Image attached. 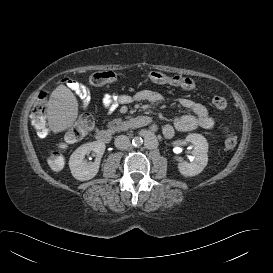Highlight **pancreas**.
Returning <instances> with one entry per match:
<instances>
[{
  "label": "pancreas",
  "instance_id": "cf45deb5",
  "mask_svg": "<svg viewBox=\"0 0 273 273\" xmlns=\"http://www.w3.org/2000/svg\"><path fill=\"white\" fill-rule=\"evenodd\" d=\"M122 123L123 121L121 118L113 119L112 121L108 122L107 127L111 132H115L119 129Z\"/></svg>",
  "mask_w": 273,
  "mask_h": 273
}]
</instances>
